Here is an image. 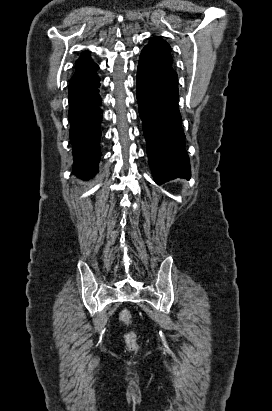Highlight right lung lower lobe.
<instances>
[{
    "label": "right lung lower lobe",
    "instance_id": "right-lung-lower-lobe-1",
    "mask_svg": "<svg viewBox=\"0 0 272 411\" xmlns=\"http://www.w3.org/2000/svg\"><path fill=\"white\" fill-rule=\"evenodd\" d=\"M100 79L97 76L87 86L70 91L68 118L74 156V173L90 178L98 172L100 152V123L102 121Z\"/></svg>",
    "mask_w": 272,
    "mask_h": 411
}]
</instances>
